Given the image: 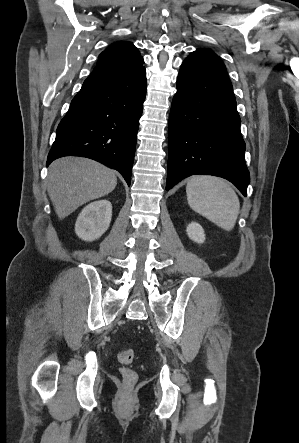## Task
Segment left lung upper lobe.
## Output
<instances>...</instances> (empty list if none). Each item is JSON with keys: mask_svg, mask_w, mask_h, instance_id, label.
Here are the masks:
<instances>
[{"mask_svg": "<svg viewBox=\"0 0 299 443\" xmlns=\"http://www.w3.org/2000/svg\"><path fill=\"white\" fill-rule=\"evenodd\" d=\"M182 65L230 82L224 63L209 49H197L184 60Z\"/></svg>", "mask_w": 299, "mask_h": 443, "instance_id": "obj_1", "label": "left lung upper lobe"}]
</instances>
